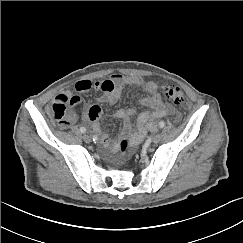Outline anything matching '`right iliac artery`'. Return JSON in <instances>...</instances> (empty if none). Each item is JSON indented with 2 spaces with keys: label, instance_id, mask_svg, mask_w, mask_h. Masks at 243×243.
I'll list each match as a JSON object with an SVG mask.
<instances>
[{
  "label": "right iliac artery",
  "instance_id": "82829eb1",
  "mask_svg": "<svg viewBox=\"0 0 243 243\" xmlns=\"http://www.w3.org/2000/svg\"><path fill=\"white\" fill-rule=\"evenodd\" d=\"M80 131H81V133H85L86 132V129L84 127H81L80 128Z\"/></svg>",
  "mask_w": 243,
  "mask_h": 243
}]
</instances>
